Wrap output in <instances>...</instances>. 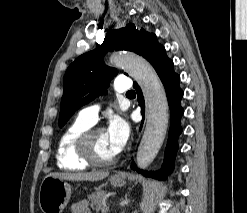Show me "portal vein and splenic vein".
Returning a JSON list of instances; mask_svg holds the SVG:
<instances>
[{"mask_svg": "<svg viewBox=\"0 0 247 213\" xmlns=\"http://www.w3.org/2000/svg\"><path fill=\"white\" fill-rule=\"evenodd\" d=\"M109 210V206L107 205H104L103 208H102V212L105 213Z\"/></svg>", "mask_w": 247, "mask_h": 213, "instance_id": "18ae733b", "label": "portal vein and splenic vein"}]
</instances>
